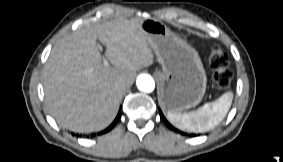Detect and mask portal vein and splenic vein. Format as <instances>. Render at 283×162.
Masks as SVG:
<instances>
[{"label":"portal vein and splenic vein","mask_w":283,"mask_h":162,"mask_svg":"<svg viewBox=\"0 0 283 162\" xmlns=\"http://www.w3.org/2000/svg\"><path fill=\"white\" fill-rule=\"evenodd\" d=\"M103 63H104L105 66H109V63L106 59L103 60Z\"/></svg>","instance_id":"1"}]
</instances>
